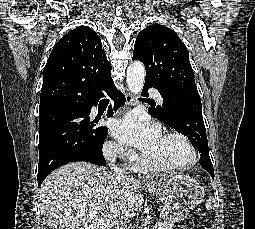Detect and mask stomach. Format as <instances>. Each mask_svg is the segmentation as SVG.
Wrapping results in <instances>:
<instances>
[{"instance_id":"0dacf381","label":"stomach","mask_w":255,"mask_h":229,"mask_svg":"<svg viewBox=\"0 0 255 229\" xmlns=\"http://www.w3.org/2000/svg\"><path fill=\"white\" fill-rule=\"evenodd\" d=\"M146 189L164 200L160 216L170 223L184 220L204 196L199 183L186 174L172 176L166 182L147 186Z\"/></svg>"}]
</instances>
